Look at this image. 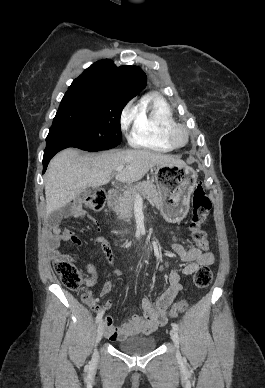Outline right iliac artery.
<instances>
[{
    "mask_svg": "<svg viewBox=\"0 0 265 388\" xmlns=\"http://www.w3.org/2000/svg\"><path fill=\"white\" fill-rule=\"evenodd\" d=\"M103 314V311L97 314L96 323H100L102 321Z\"/></svg>",
    "mask_w": 265,
    "mask_h": 388,
    "instance_id": "82829eb1",
    "label": "right iliac artery"
}]
</instances>
